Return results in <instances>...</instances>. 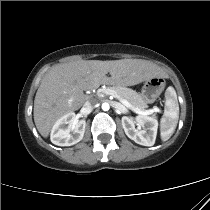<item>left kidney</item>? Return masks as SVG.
<instances>
[{
	"label": "left kidney",
	"mask_w": 210,
	"mask_h": 210,
	"mask_svg": "<svg viewBox=\"0 0 210 210\" xmlns=\"http://www.w3.org/2000/svg\"><path fill=\"white\" fill-rule=\"evenodd\" d=\"M137 125V128H135ZM122 127L125 134L137 144L143 146H153L156 140L158 121L145 114L135 118L129 116L122 117Z\"/></svg>",
	"instance_id": "1"
}]
</instances>
